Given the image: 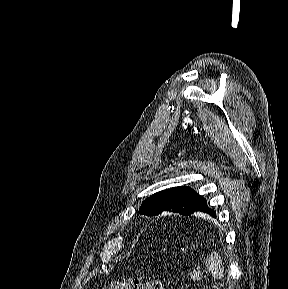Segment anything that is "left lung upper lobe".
Here are the masks:
<instances>
[{"instance_id": "left-lung-upper-lobe-1", "label": "left lung upper lobe", "mask_w": 288, "mask_h": 289, "mask_svg": "<svg viewBox=\"0 0 288 289\" xmlns=\"http://www.w3.org/2000/svg\"><path fill=\"white\" fill-rule=\"evenodd\" d=\"M203 199L190 187H175L148 197L143 201L139 212L149 217L159 215L163 211L190 215Z\"/></svg>"}]
</instances>
